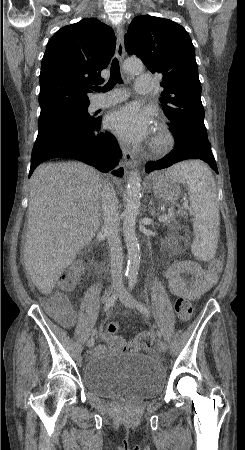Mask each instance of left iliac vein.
Listing matches in <instances>:
<instances>
[{
  "label": "left iliac vein",
  "instance_id": "obj_1",
  "mask_svg": "<svg viewBox=\"0 0 245 450\" xmlns=\"http://www.w3.org/2000/svg\"><path fill=\"white\" fill-rule=\"evenodd\" d=\"M119 299L122 302V304L130 309L135 308V302L132 297V295L125 289L121 288L119 292ZM159 348L162 352L167 351V344L164 341L159 342Z\"/></svg>",
  "mask_w": 245,
  "mask_h": 450
}]
</instances>
